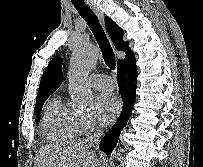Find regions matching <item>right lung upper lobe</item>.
<instances>
[{
	"label": "right lung upper lobe",
	"mask_w": 203,
	"mask_h": 167,
	"mask_svg": "<svg viewBox=\"0 0 203 167\" xmlns=\"http://www.w3.org/2000/svg\"><path fill=\"white\" fill-rule=\"evenodd\" d=\"M105 26L116 49L126 53L125 59L118 61L117 69L135 62V55L129 48V42L123 41V30L107 16L105 17ZM61 82L62 60L56 57L50 61L44 71L39 85L36 103L47 99L61 85Z\"/></svg>",
	"instance_id": "obj_1"
}]
</instances>
